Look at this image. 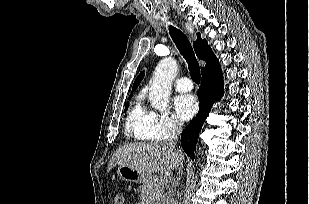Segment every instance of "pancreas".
I'll return each instance as SVG.
<instances>
[{
  "instance_id": "pancreas-1",
  "label": "pancreas",
  "mask_w": 309,
  "mask_h": 204,
  "mask_svg": "<svg viewBox=\"0 0 309 204\" xmlns=\"http://www.w3.org/2000/svg\"><path fill=\"white\" fill-rule=\"evenodd\" d=\"M166 181L158 176H149L148 179L140 187L142 202L141 204H155L158 201L165 189Z\"/></svg>"
}]
</instances>
